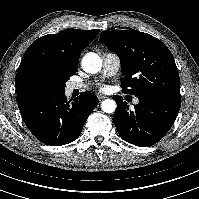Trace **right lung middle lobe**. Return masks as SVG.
<instances>
[{
    "instance_id": "right-lung-middle-lobe-1",
    "label": "right lung middle lobe",
    "mask_w": 199,
    "mask_h": 199,
    "mask_svg": "<svg viewBox=\"0 0 199 199\" xmlns=\"http://www.w3.org/2000/svg\"><path fill=\"white\" fill-rule=\"evenodd\" d=\"M66 79H55L38 72H32L25 78L21 88L23 100L49 97L65 92Z\"/></svg>"
}]
</instances>
